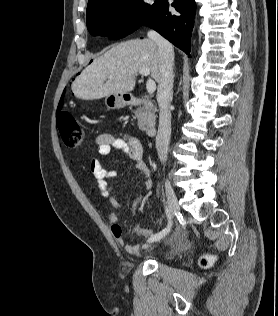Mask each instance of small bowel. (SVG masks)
I'll use <instances>...</instances> for the list:
<instances>
[{
    "label": "small bowel",
    "instance_id": "small-bowel-1",
    "mask_svg": "<svg viewBox=\"0 0 278 316\" xmlns=\"http://www.w3.org/2000/svg\"><path fill=\"white\" fill-rule=\"evenodd\" d=\"M97 151L102 156L109 155L113 149L120 150L124 155L135 162V168L144 174V186L147 190L152 187V178L149 167L142 160L143 147L141 142L134 137L125 136L119 137L110 133L100 134L96 139ZM90 169L94 175L97 185L101 191V194L106 198L108 204L114 208L119 209L120 203L117 198L113 195L114 188L110 185L109 181L116 177V171L103 166L99 160L92 158L90 160ZM137 208V203L133 204V210ZM109 223L111 225V232L114 236L116 242L123 246L125 251L129 254H135L139 251V246L136 244H126L122 227L119 225L121 216L117 212H112L109 215ZM136 234L147 238L153 236V230L151 228L141 227L139 225L135 226ZM177 240L181 242V233L178 231L176 234Z\"/></svg>",
    "mask_w": 278,
    "mask_h": 316
}]
</instances>
